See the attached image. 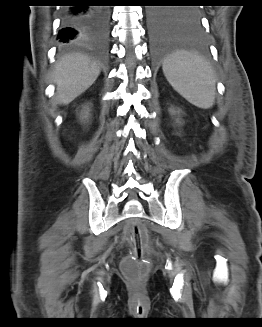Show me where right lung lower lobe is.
Returning <instances> with one entry per match:
<instances>
[{"mask_svg":"<svg viewBox=\"0 0 262 327\" xmlns=\"http://www.w3.org/2000/svg\"><path fill=\"white\" fill-rule=\"evenodd\" d=\"M79 3L88 2L79 0ZM62 26L58 38L64 45L87 44L97 48L107 45L109 13L105 8L66 6L62 12Z\"/></svg>","mask_w":262,"mask_h":327,"instance_id":"98d812e1","label":"right lung lower lobe"}]
</instances>
